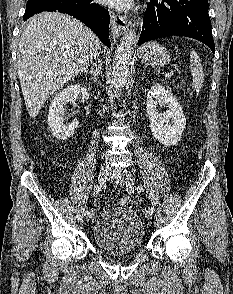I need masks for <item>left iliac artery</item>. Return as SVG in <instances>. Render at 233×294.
<instances>
[{
    "label": "left iliac artery",
    "instance_id": "1",
    "mask_svg": "<svg viewBox=\"0 0 233 294\" xmlns=\"http://www.w3.org/2000/svg\"><path fill=\"white\" fill-rule=\"evenodd\" d=\"M137 191L138 192H142L143 191V188L142 187H137ZM130 193V191H128ZM147 212L149 213H153L154 212V209L152 207H149Z\"/></svg>",
    "mask_w": 233,
    "mask_h": 294
}]
</instances>
